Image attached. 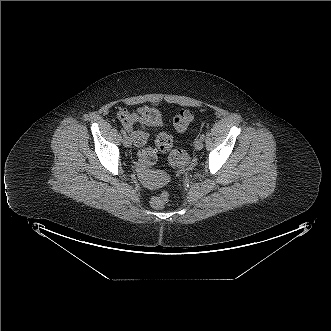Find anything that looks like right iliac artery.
<instances>
[{"label":"right iliac artery","instance_id":"82829eb1","mask_svg":"<svg viewBox=\"0 0 331 331\" xmlns=\"http://www.w3.org/2000/svg\"><path fill=\"white\" fill-rule=\"evenodd\" d=\"M121 134H122L123 136H125V135H126V132H125V130H124V129H121Z\"/></svg>","mask_w":331,"mask_h":331}]
</instances>
